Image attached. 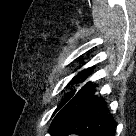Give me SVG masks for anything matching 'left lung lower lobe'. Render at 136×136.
Segmentation results:
<instances>
[{
  "label": "left lung lower lobe",
  "mask_w": 136,
  "mask_h": 136,
  "mask_svg": "<svg viewBox=\"0 0 136 136\" xmlns=\"http://www.w3.org/2000/svg\"><path fill=\"white\" fill-rule=\"evenodd\" d=\"M94 88L88 82L56 114L50 126L52 136H113L114 120L106 103L94 96Z\"/></svg>",
  "instance_id": "1"
}]
</instances>
